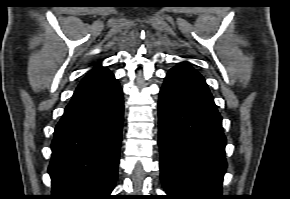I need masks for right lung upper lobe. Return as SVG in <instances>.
Wrapping results in <instances>:
<instances>
[{
	"mask_svg": "<svg viewBox=\"0 0 290 199\" xmlns=\"http://www.w3.org/2000/svg\"><path fill=\"white\" fill-rule=\"evenodd\" d=\"M114 79L115 78L112 72L105 67H102L99 63L83 78L81 83L76 88L74 94H79L96 89L109 83Z\"/></svg>",
	"mask_w": 290,
	"mask_h": 199,
	"instance_id": "obj_1",
	"label": "right lung upper lobe"
}]
</instances>
